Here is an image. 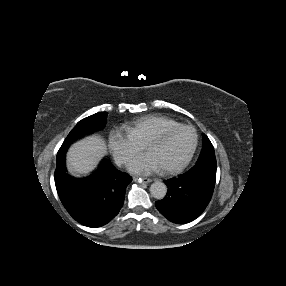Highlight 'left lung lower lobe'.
I'll use <instances>...</instances> for the list:
<instances>
[{"instance_id": "left-lung-lower-lobe-1", "label": "left lung lower lobe", "mask_w": 286, "mask_h": 286, "mask_svg": "<svg viewBox=\"0 0 286 286\" xmlns=\"http://www.w3.org/2000/svg\"><path fill=\"white\" fill-rule=\"evenodd\" d=\"M216 179V158L197 162L184 174L165 180L166 196L155 202L156 208L174 223H188L207 207Z\"/></svg>"}]
</instances>
